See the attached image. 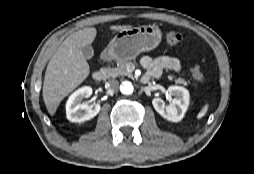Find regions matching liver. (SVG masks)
<instances>
[{
  "label": "liver",
  "mask_w": 254,
  "mask_h": 174,
  "mask_svg": "<svg viewBox=\"0 0 254 174\" xmlns=\"http://www.w3.org/2000/svg\"><path fill=\"white\" fill-rule=\"evenodd\" d=\"M131 25H113L110 30L122 31ZM97 35L94 27L69 35L58 47L46 68L43 82V100L50 115H54L61 101L89 75L90 67L81 47L93 43Z\"/></svg>",
  "instance_id": "6515ba94"
}]
</instances>
